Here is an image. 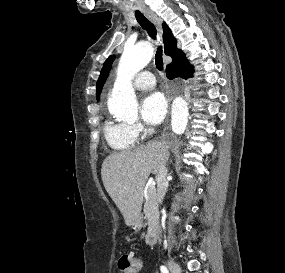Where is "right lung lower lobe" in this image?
<instances>
[{
	"mask_svg": "<svg viewBox=\"0 0 285 273\" xmlns=\"http://www.w3.org/2000/svg\"><path fill=\"white\" fill-rule=\"evenodd\" d=\"M193 69L189 64L188 60L184 58L183 60L169 64L166 67V76L168 79H174L176 77L189 78L192 77Z\"/></svg>",
	"mask_w": 285,
	"mask_h": 273,
	"instance_id": "obj_1",
	"label": "right lung lower lobe"
}]
</instances>
